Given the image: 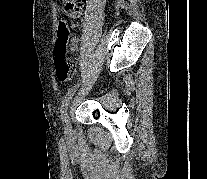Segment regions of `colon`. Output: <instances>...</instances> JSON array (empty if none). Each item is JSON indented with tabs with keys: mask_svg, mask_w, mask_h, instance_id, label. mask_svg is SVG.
Masks as SVG:
<instances>
[{
	"mask_svg": "<svg viewBox=\"0 0 207 179\" xmlns=\"http://www.w3.org/2000/svg\"><path fill=\"white\" fill-rule=\"evenodd\" d=\"M67 15L77 9V0H59ZM70 32L68 25L61 22L55 46L56 75L60 81L70 80L75 74V65L69 48Z\"/></svg>",
	"mask_w": 207,
	"mask_h": 179,
	"instance_id": "obj_1",
	"label": "colon"
}]
</instances>
